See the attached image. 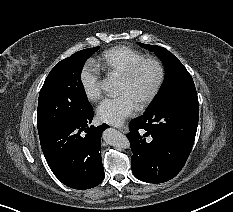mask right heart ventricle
Masks as SVG:
<instances>
[{
  "label": "right heart ventricle",
  "mask_w": 233,
  "mask_h": 212,
  "mask_svg": "<svg viewBox=\"0 0 233 212\" xmlns=\"http://www.w3.org/2000/svg\"><path fill=\"white\" fill-rule=\"evenodd\" d=\"M145 54L127 46H116L106 50L98 58L96 66L110 74L122 75Z\"/></svg>",
  "instance_id": "e07e8e85"
}]
</instances>
